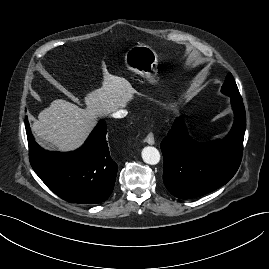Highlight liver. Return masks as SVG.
Instances as JSON below:
<instances>
[{"mask_svg":"<svg viewBox=\"0 0 269 269\" xmlns=\"http://www.w3.org/2000/svg\"><path fill=\"white\" fill-rule=\"evenodd\" d=\"M135 93L128 80L105 73L102 87L86 95V109L56 99L39 113L32 131L44 145L62 152L75 150L84 143L98 117L126 107Z\"/></svg>","mask_w":269,"mask_h":269,"instance_id":"liver-1","label":"liver"}]
</instances>
